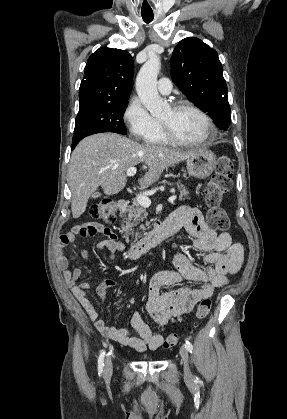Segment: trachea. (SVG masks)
<instances>
[{
    "mask_svg": "<svg viewBox=\"0 0 287 419\" xmlns=\"http://www.w3.org/2000/svg\"><path fill=\"white\" fill-rule=\"evenodd\" d=\"M142 18L146 23H150L154 16L152 14H142Z\"/></svg>",
    "mask_w": 287,
    "mask_h": 419,
    "instance_id": "trachea-1",
    "label": "trachea"
}]
</instances>
